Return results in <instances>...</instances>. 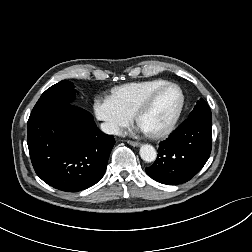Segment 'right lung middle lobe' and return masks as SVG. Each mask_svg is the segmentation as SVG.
Instances as JSON below:
<instances>
[{
	"label": "right lung middle lobe",
	"instance_id": "dd1d6c3e",
	"mask_svg": "<svg viewBox=\"0 0 252 252\" xmlns=\"http://www.w3.org/2000/svg\"><path fill=\"white\" fill-rule=\"evenodd\" d=\"M75 93L73 83L67 80L60 81L41 95L30 114V118L38 116L48 109L72 104Z\"/></svg>",
	"mask_w": 252,
	"mask_h": 252
}]
</instances>
